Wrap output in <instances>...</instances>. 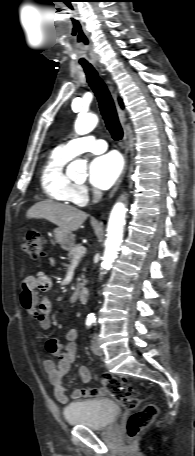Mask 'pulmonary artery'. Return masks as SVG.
<instances>
[{
	"instance_id": "1",
	"label": "pulmonary artery",
	"mask_w": 195,
	"mask_h": 456,
	"mask_svg": "<svg viewBox=\"0 0 195 456\" xmlns=\"http://www.w3.org/2000/svg\"><path fill=\"white\" fill-rule=\"evenodd\" d=\"M66 155L73 158L84 152L102 153L107 149V144L102 139L93 136L75 138L59 147Z\"/></svg>"
}]
</instances>
